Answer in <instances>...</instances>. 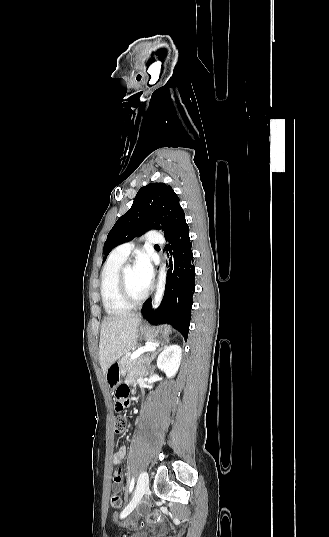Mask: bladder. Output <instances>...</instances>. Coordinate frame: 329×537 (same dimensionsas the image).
<instances>
[{
  "label": "bladder",
  "instance_id": "obj_1",
  "mask_svg": "<svg viewBox=\"0 0 329 537\" xmlns=\"http://www.w3.org/2000/svg\"><path fill=\"white\" fill-rule=\"evenodd\" d=\"M130 537H147V533L146 532H138V533H135V534L131 535Z\"/></svg>",
  "mask_w": 329,
  "mask_h": 537
}]
</instances>
